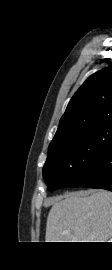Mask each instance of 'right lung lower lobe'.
<instances>
[{
	"instance_id": "right-lung-lower-lobe-1",
	"label": "right lung lower lobe",
	"mask_w": 112,
	"mask_h": 270,
	"mask_svg": "<svg viewBox=\"0 0 112 270\" xmlns=\"http://www.w3.org/2000/svg\"><path fill=\"white\" fill-rule=\"evenodd\" d=\"M81 185L112 191V144L92 162Z\"/></svg>"
}]
</instances>
